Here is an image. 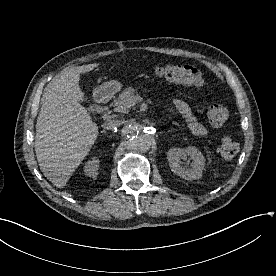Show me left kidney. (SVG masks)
<instances>
[{"mask_svg": "<svg viewBox=\"0 0 276 276\" xmlns=\"http://www.w3.org/2000/svg\"><path fill=\"white\" fill-rule=\"evenodd\" d=\"M186 156H189L190 160H192L191 168L183 167L181 165V158ZM167 159L171 171L181 178L186 180H196L202 177L205 158L196 147L189 146L186 149L171 148L167 153Z\"/></svg>", "mask_w": 276, "mask_h": 276, "instance_id": "obj_1", "label": "left kidney"}]
</instances>
